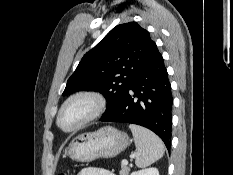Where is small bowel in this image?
<instances>
[{
  "label": "small bowel",
  "mask_w": 233,
  "mask_h": 175,
  "mask_svg": "<svg viewBox=\"0 0 233 175\" xmlns=\"http://www.w3.org/2000/svg\"><path fill=\"white\" fill-rule=\"evenodd\" d=\"M77 175H116V174L106 169L87 167L80 170Z\"/></svg>",
  "instance_id": "1"
}]
</instances>
